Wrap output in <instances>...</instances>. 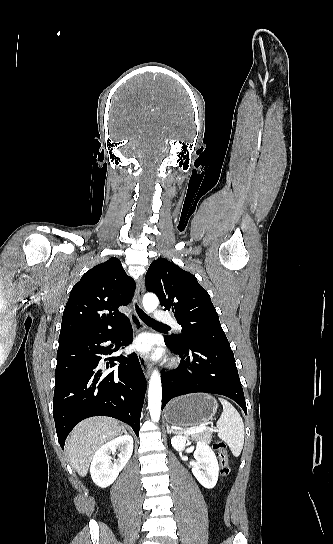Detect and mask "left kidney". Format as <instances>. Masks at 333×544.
Returning <instances> with one entry per match:
<instances>
[{
    "mask_svg": "<svg viewBox=\"0 0 333 544\" xmlns=\"http://www.w3.org/2000/svg\"><path fill=\"white\" fill-rule=\"evenodd\" d=\"M186 436L177 435L171 439L173 448L181 451L185 448ZM196 464L192 468V472L202 486L207 489H212L218 480L219 465L215 453L204 441L197 442V447L194 452Z\"/></svg>",
    "mask_w": 333,
    "mask_h": 544,
    "instance_id": "obj_1",
    "label": "left kidney"
}]
</instances>
